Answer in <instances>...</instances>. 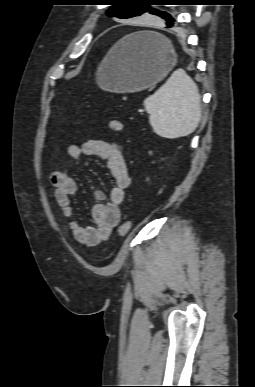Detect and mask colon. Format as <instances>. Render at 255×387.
Returning a JSON list of instances; mask_svg holds the SVG:
<instances>
[{
  "instance_id": "obj_1",
  "label": "colon",
  "mask_w": 255,
  "mask_h": 387,
  "mask_svg": "<svg viewBox=\"0 0 255 387\" xmlns=\"http://www.w3.org/2000/svg\"><path fill=\"white\" fill-rule=\"evenodd\" d=\"M108 127L113 132H116V133H120L124 129V125L122 124V122L116 119L109 120ZM130 229H131V222L129 220H126L118 226L117 231L120 236H125L129 233Z\"/></svg>"
}]
</instances>
